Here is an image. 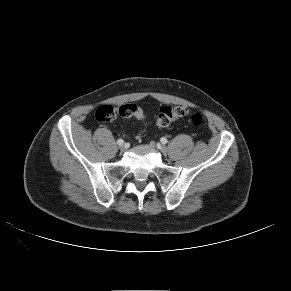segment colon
<instances>
[{"label":"colon","instance_id":"colon-1","mask_svg":"<svg viewBox=\"0 0 291 291\" xmlns=\"http://www.w3.org/2000/svg\"><path fill=\"white\" fill-rule=\"evenodd\" d=\"M118 115L121 117H135L139 120L145 117L142 108L136 104H124L120 107L103 105L95 113L96 119L100 122L111 121ZM188 115H190V111L184 106H164L160 109L156 118V125L161 128L168 127L174 121ZM190 120L195 126H200L203 122L199 113L191 114Z\"/></svg>","mask_w":291,"mask_h":291}]
</instances>
